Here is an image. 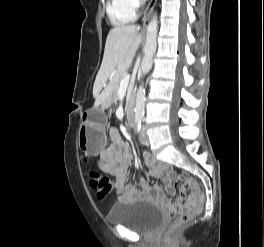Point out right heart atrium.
I'll list each match as a JSON object with an SVG mask.
<instances>
[{
    "mask_svg": "<svg viewBox=\"0 0 264 247\" xmlns=\"http://www.w3.org/2000/svg\"><path fill=\"white\" fill-rule=\"evenodd\" d=\"M127 9L136 12L142 6V0H123Z\"/></svg>",
    "mask_w": 264,
    "mask_h": 247,
    "instance_id": "right-heart-atrium-1",
    "label": "right heart atrium"
}]
</instances>
